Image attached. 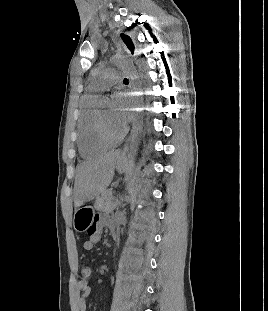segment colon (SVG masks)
<instances>
[{
    "mask_svg": "<svg viewBox=\"0 0 268 311\" xmlns=\"http://www.w3.org/2000/svg\"><path fill=\"white\" fill-rule=\"evenodd\" d=\"M91 275V268L89 266L83 265L81 267V276L83 278H89Z\"/></svg>",
    "mask_w": 268,
    "mask_h": 311,
    "instance_id": "colon-1",
    "label": "colon"
}]
</instances>
